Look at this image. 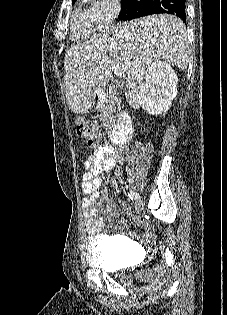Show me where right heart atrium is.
I'll use <instances>...</instances> for the list:
<instances>
[{
	"instance_id": "obj_1",
	"label": "right heart atrium",
	"mask_w": 227,
	"mask_h": 315,
	"mask_svg": "<svg viewBox=\"0 0 227 315\" xmlns=\"http://www.w3.org/2000/svg\"><path fill=\"white\" fill-rule=\"evenodd\" d=\"M92 19L98 29L109 26L118 16L121 5L119 0H88Z\"/></svg>"
}]
</instances>
